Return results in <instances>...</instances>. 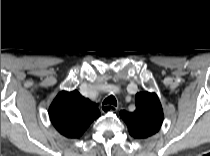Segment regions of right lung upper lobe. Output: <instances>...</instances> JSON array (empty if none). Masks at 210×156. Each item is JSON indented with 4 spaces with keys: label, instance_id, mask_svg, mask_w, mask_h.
Instances as JSON below:
<instances>
[{
    "label": "right lung upper lobe",
    "instance_id": "obj_1",
    "mask_svg": "<svg viewBox=\"0 0 210 156\" xmlns=\"http://www.w3.org/2000/svg\"><path fill=\"white\" fill-rule=\"evenodd\" d=\"M49 116L56 130L67 138H79L100 116L98 104L84 98L77 90L61 91L49 108Z\"/></svg>",
    "mask_w": 210,
    "mask_h": 156
}]
</instances>
